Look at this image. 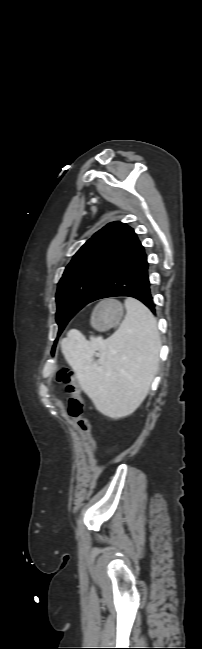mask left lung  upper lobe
<instances>
[{"label": "left lung upper lobe", "mask_w": 202, "mask_h": 649, "mask_svg": "<svg viewBox=\"0 0 202 649\" xmlns=\"http://www.w3.org/2000/svg\"><path fill=\"white\" fill-rule=\"evenodd\" d=\"M137 239L131 227L112 222L96 232L74 255L58 283V335L69 320L92 301L101 284Z\"/></svg>", "instance_id": "5c2ea615"}]
</instances>
